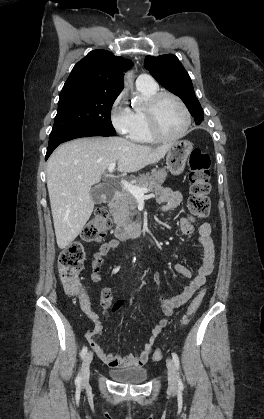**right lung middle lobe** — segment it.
<instances>
[{
    "instance_id": "1",
    "label": "right lung middle lobe",
    "mask_w": 264,
    "mask_h": 419,
    "mask_svg": "<svg viewBox=\"0 0 264 419\" xmlns=\"http://www.w3.org/2000/svg\"><path fill=\"white\" fill-rule=\"evenodd\" d=\"M118 95L93 91L83 86L63 87L49 144L81 130L115 133L110 111Z\"/></svg>"
}]
</instances>
